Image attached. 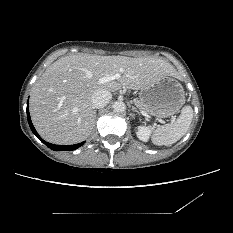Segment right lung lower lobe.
<instances>
[{"mask_svg":"<svg viewBox=\"0 0 233 233\" xmlns=\"http://www.w3.org/2000/svg\"><path fill=\"white\" fill-rule=\"evenodd\" d=\"M27 119H28V123H29V126H30L32 132L41 140V142L46 144L52 150H55V151H72V150H75V149L79 148L80 146H82L85 143V141H84V142L74 144V145H55V144H51V143H48V142L44 141L39 136V134L36 132V130H35L33 124H32L30 114H29L28 104H27Z\"/></svg>","mask_w":233,"mask_h":233,"instance_id":"right-lung-lower-lobe-1","label":"right lung lower lobe"}]
</instances>
